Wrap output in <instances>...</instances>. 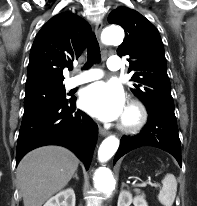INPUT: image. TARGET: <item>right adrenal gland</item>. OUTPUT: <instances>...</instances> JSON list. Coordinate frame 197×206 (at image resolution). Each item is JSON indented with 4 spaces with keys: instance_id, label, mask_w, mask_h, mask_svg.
Returning <instances> with one entry per match:
<instances>
[{
    "instance_id": "2a0ac1e0",
    "label": "right adrenal gland",
    "mask_w": 197,
    "mask_h": 206,
    "mask_svg": "<svg viewBox=\"0 0 197 206\" xmlns=\"http://www.w3.org/2000/svg\"><path fill=\"white\" fill-rule=\"evenodd\" d=\"M73 178H75L76 180H79V177L77 175V172L73 175Z\"/></svg>"
}]
</instances>
